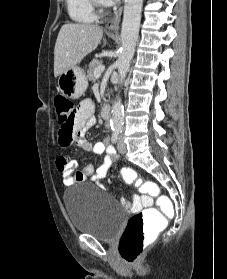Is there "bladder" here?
<instances>
[{
	"label": "bladder",
	"instance_id": "bladder-1",
	"mask_svg": "<svg viewBox=\"0 0 227 279\" xmlns=\"http://www.w3.org/2000/svg\"><path fill=\"white\" fill-rule=\"evenodd\" d=\"M63 204L76 231L100 241H112L121 232L124 215L114 198L99 195L94 188L79 184L63 194Z\"/></svg>",
	"mask_w": 227,
	"mask_h": 279
}]
</instances>
